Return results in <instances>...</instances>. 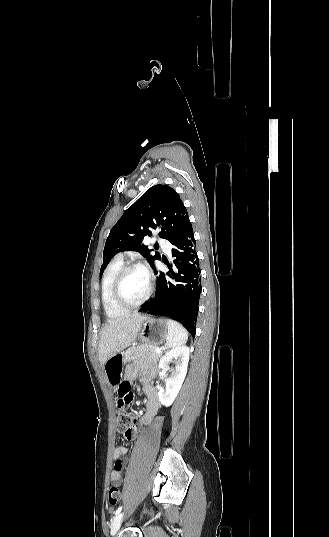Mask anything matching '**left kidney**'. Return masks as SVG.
<instances>
[{
	"label": "left kidney",
	"instance_id": "5707ae66",
	"mask_svg": "<svg viewBox=\"0 0 329 537\" xmlns=\"http://www.w3.org/2000/svg\"><path fill=\"white\" fill-rule=\"evenodd\" d=\"M189 348L181 346L168 351L159 361V368L171 371L166 378V387L158 392V398L162 405L168 407L176 399L185 379L189 361ZM175 362L171 368L170 363Z\"/></svg>",
	"mask_w": 329,
	"mask_h": 537
}]
</instances>
